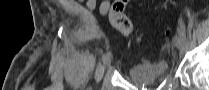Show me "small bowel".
Here are the masks:
<instances>
[{"instance_id": "1", "label": "small bowel", "mask_w": 209, "mask_h": 90, "mask_svg": "<svg viewBox=\"0 0 209 90\" xmlns=\"http://www.w3.org/2000/svg\"><path fill=\"white\" fill-rule=\"evenodd\" d=\"M96 7V1L95 0H88L87 1V8L89 10H93ZM110 8V2L109 1H104L101 3L99 7V12L101 15H106L109 11Z\"/></svg>"}]
</instances>
